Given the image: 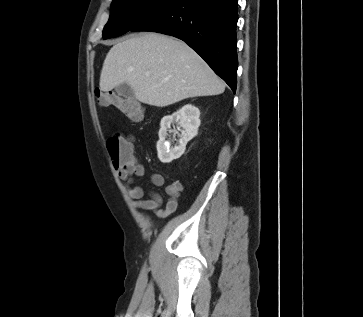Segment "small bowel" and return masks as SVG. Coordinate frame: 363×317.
<instances>
[{
    "mask_svg": "<svg viewBox=\"0 0 363 317\" xmlns=\"http://www.w3.org/2000/svg\"><path fill=\"white\" fill-rule=\"evenodd\" d=\"M119 178L122 180L125 190L130 197L132 204L144 211L153 212L157 217L164 218L177 211L179 207V197L183 190V185L179 181H173L166 187L168 200L164 209L161 208L162 197L153 192L150 198H144V189L139 185H133L134 176H143L145 174V166L142 163H133L127 166H119L117 168ZM151 182L155 186H163L165 178L160 173L151 175Z\"/></svg>",
    "mask_w": 363,
    "mask_h": 317,
    "instance_id": "obj_1",
    "label": "small bowel"
}]
</instances>
